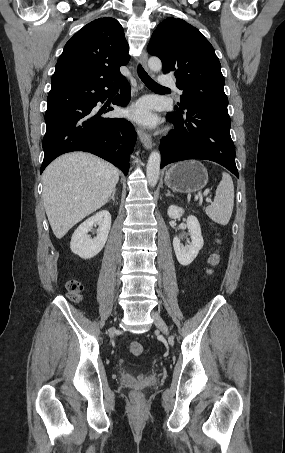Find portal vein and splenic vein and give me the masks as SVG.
Listing matches in <instances>:
<instances>
[{
  "label": "portal vein and splenic vein",
  "mask_w": 285,
  "mask_h": 453,
  "mask_svg": "<svg viewBox=\"0 0 285 453\" xmlns=\"http://www.w3.org/2000/svg\"><path fill=\"white\" fill-rule=\"evenodd\" d=\"M208 193H209V189H207V190L205 191V195H207ZM206 202H211V199H210V198H206Z\"/></svg>",
  "instance_id": "1"
}]
</instances>
